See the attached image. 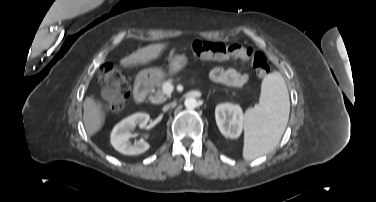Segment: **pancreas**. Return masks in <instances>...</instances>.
I'll use <instances>...</instances> for the list:
<instances>
[{
    "label": "pancreas",
    "mask_w": 376,
    "mask_h": 202,
    "mask_svg": "<svg viewBox=\"0 0 376 202\" xmlns=\"http://www.w3.org/2000/svg\"><path fill=\"white\" fill-rule=\"evenodd\" d=\"M166 82L171 83V79H165L164 76L150 82L149 87L153 95L149 96V100L154 104H159L167 99V96L163 92V86Z\"/></svg>",
    "instance_id": "pancreas-1"
}]
</instances>
